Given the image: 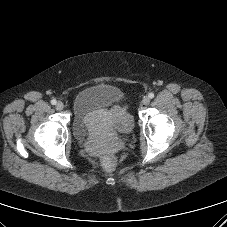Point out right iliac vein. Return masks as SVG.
<instances>
[{"mask_svg": "<svg viewBox=\"0 0 227 227\" xmlns=\"http://www.w3.org/2000/svg\"><path fill=\"white\" fill-rule=\"evenodd\" d=\"M63 108H64V104L62 102H58L56 104V109L57 110L61 111V110H63Z\"/></svg>", "mask_w": 227, "mask_h": 227, "instance_id": "right-iliac-vein-1", "label": "right iliac vein"}]
</instances>
